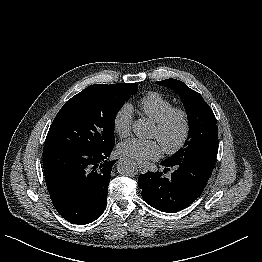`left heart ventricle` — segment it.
Wrapping results in <instances>:
<instances>
[{
	"mask_svg": "<svg viewBox=\"0 0 262 262\" xmlns=\"http://www.w3.org/2000/svg\"><path fill=\"white\" fill-rule=\"evenodd\" d=\"M182 133V121L179 117L174 118L170 127L165 133H160L155 126L152 137L157 138L163 147L174 145Z\"/></svg>",
	"mask_w": 262,
	"mask_h": 262,
	"instance_id": "left-heart-ventricle-1",
	"label": "left heart ventricle"
}]
</instances>
